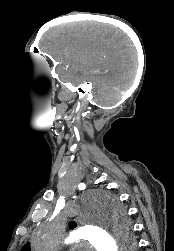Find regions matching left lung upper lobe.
<instances>
[{"label": "left lung upper lobe", "instance_id": "1", "mask_svg": "<svg viewBox=\"0 0 174 251\" xmlns=\"http://www.w3.org/2000/svg\"><path fill=\"white\" fill-rule=\"evenodd\" d=\"M110 203H111L112 208L114 209L115 214H116L117 216H121V215H122V211H121L120 208L118 207L116 200H111ZM74 227H76V223H75V222H71L70 228L72 229V228H74ZM22 251H30V246H29V244L25 245V246L23 247Z\"/></svg>", "mask_w": 174, "mask_h": 251}]
</instances>
